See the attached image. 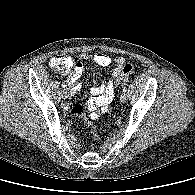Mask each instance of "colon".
Here are the masks:
<instances>
[{
  "instance_id": "colon-1",
  "label": "colon",
  "mask_w": 195,
  "mask_h": 195,
  "mask_svg": "<svg viewBox=\"0 0 195 195\" xmlns=\"http://www.w3.org/2000/svg\"><path fill=\"white\" fill-rule=\"evenodd\" d=\"M50 66L59 74H66L72 67V59L65 55H57L50 59ZM134 73V67L131 64H126L122 67L120 74L117 76L116 83L123 84L127 81L128 77ZM86 125L90 128L92 135H96L95 125L85 120Z\"/></svg>"
}]
</instances>
